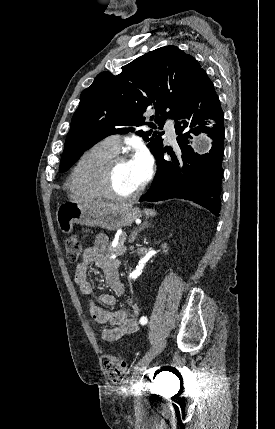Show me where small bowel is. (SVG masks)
<instances>
[{
  "instance_id": "c3829d8e",
  "label": "small bowel",
  "mask_w": 275,
  "mask_h": 429,
  "mask_svg": "<svg viewBox=\"0 0 275 429\" xmlns=\"http://www.w3.org/2000/svg\"><path fill=\"white\" fill-rule=\"evenodd\" d=\"M107 238L103 235L97 237L94 246L84 250L75 270L74 280L81 293L88 299V312L91 318L102 326L101 336L107 342H114L124 336L133 334L139 329V308L136 302L128 298L125 306L117 311H108L93 300V287L88 280L87 270L90 264H95L105 274L108 286L117 296L123 294V286L118 273V263L108 259L105 255ZM98 302L104 307H112L116 303L113 295L102 294Z\"/></svg>"
}]
</instances>
